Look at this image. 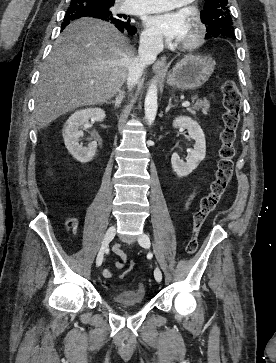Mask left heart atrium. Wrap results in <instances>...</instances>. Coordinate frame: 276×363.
Masks as SVG:
<instances>
[{
	"label": "left heart atrium",
	"instance_id": "39dd6f15",
	"mask_svg": "<svg viewBox=\"0 0 276 363\" xmlns=\"http://www.w3.org/2000/svg\"><path fill=\"white\" fill-rule=\"evenodd\" d=\"M150 32L167 41L180 42L189 28V17L185 11L162 12L146 18Z\"/></svg>",
	"mask_w": 276,
	"mask_h": 363
}]
</instances>
